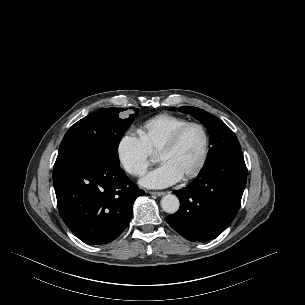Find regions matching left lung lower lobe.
Segmentation results:
<instances>
[{"instance_id":"1","label":"left lung lower lobe","mask_w":305,"mask_h":305,"mask_svg":"<svg viewBox=\"0 0 305 305\" xmlns=\"http://www.w3.org/2000/svg\"><path fill=\"white\" fill-rule=\"evenodd\" d=\"M246 179L242 152L231 153L202 168L193 182L174 191L180 208L166 217L167 222L190 241L215 239L237 214Z\"/></svg>"}]
</instances>
